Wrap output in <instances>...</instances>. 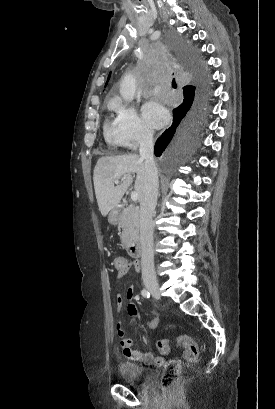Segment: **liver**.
Returning a JSON list of instances; mask_svg holds the SVG:
<instances>
[{
    "label": "liver",
    "mask_w": 275,
    "mask_h": 409,
    "mask_svg": "<svg viewBox=\"0 0 275 409\" xmlns=\"http://www.w3.org/2000/svg\"><path fill=\"white\" fill-rule=\"evenodd\" d=\"M136 172L135 190L138 198L143 196L145 162L138 154H121V156H100L94 168L93 180L95 194L101 215L106 217L109 211L119 205ZM127 176L125 180L114 186L115 178Z\"/></svg>",
    "instance_id": "obj_1"
}]
</instances>
